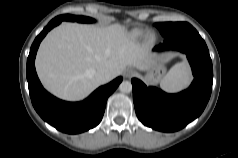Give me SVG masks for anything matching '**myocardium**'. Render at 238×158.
<instances>
[{"label": "myocardium", "mask_w": 238, "mask_h": 158, "mask_svg": "<svg viewBox=\"0 0 238 158\" xmlns=\"http://www.w3.org/2000/svg\"><path fill=\"white\" fill-rule=\"evenodd\" d=\"M154 39H155V36H154V34H152V33H149V34L147 35V41H148V42H153V41H154Z\"/></svg>", "instance_id": "myocardium-1"}]
</instances>
